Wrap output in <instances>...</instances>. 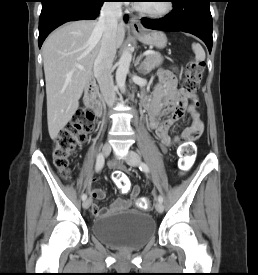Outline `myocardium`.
I'll use <instances>...</instances> for the list:
<instances>
[{"mask_svg":"<svg viewBox=\"0 0 258 275\" xmlns=\"http://www.w3.org/2000/svg\"><path fill=\"white\" fill-rule=\"evenodd\" d=\"M173 8H174V4H173V2L171 0L165 1L164 8L161 11H158V12H153V11L144 9V8H142L139 5L136 6V10L140 14H142L144 16H147V17H150V18H162V17H165L166 15H168V14H170L172 12Z\"/></svg>","mask_w":258,"mask_h":275,"instance_id":"f54148a6","label":"myocardium"}]
</instances>
